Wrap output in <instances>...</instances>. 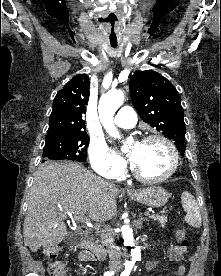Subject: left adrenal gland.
I'll use <instances>...</instances> for the list:
<instances>
[{
	"label": "left adrenal gland",
	"mask_w": 221,
	"mask_h": 276,
	"mask_svg": "<svg viewBox=\"0 0 221 276\" xmlns=\"http://www.w3.org/2000/svg\"><path fill=\"white\" fill-rule=\"evenodd\" d=\"M144 221H148L147 218H144L142 213L139 214V219L137 221V228H141Z\"/></svg>",
	"instance_id": "1"
}]
</instances>
